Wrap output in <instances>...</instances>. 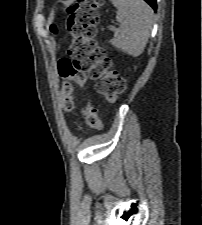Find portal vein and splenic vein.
I'll list each match as a JSON object with an SVG mask.
<instances>
[{
	"instance_id": "portal-vein-and-splenic-vein-1",
	"label": "portal vein and splenic vein",
	"mask_w": 202,
	"mask_h": 225,
	"mask_svg": "<svg viewBox=\"0 0 202 225\" xmlns=\"http://www.w3.org/2000/svg\"><path fill=\"white\" fill-rule=\"evenodd\" d=\"M110 30H114V28L112 27V28H110Z\"/></svg>"
}]
</instances>
